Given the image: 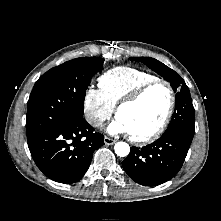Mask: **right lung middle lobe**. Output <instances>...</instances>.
Wrapping results in <instances>:
<instances>
[{"instance_id":"1","label":"right lung middle lobe","mask_w":221,"mask_h":221,"mask_svg":"<svg viewBox=\"0 0 221 221\" xmlns=\"http://www.w3.org/2000/svg\"><path fill=\"white\" fill-rule=\"evenodd\" d=\"M104 59L82 57L67 61L43 74L35 83L27 102V142L84 113L85 91Z\"/></svg>"}]
</instances>
